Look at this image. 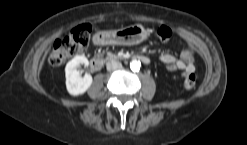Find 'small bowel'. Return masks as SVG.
I'll return each instance as SVG.
<instances>
[{
  "mask_svg": "<svg viewBox=\"0 0 247 145\" xmlns=\"http://www.w3.org/2000/svg\"><path fill=\"white\" fill-rule=\"evenodd\" d=\"M159 60L171 71L182 70L185 73L194 72V50L192 47L185 48L179 57L163 52L159 55Z\"/></svg>",
  "mask_w": 247,
  "mask_h": 145,
  "instance_id": "1",
  "label": "small bowel"
}]
</instances>
